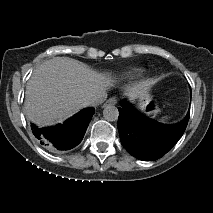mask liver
<instances>
[{
    "mask_svg": "<svg viewBox=\"0 0 213 213\" xmlns=\"http://www.w3.org/2000/svg\"><path fill=\"white\" fill-rule=\"evenodd\" d=\"M115 80L68 57H54L37 67L26 86V109L39 126L62 122L86 107L85 100L113 86ZM150 83L128 88L131 98L147 96Z\"/></svg>",
    "mask_w": 213,
    "mask_h": 213,
    "instance_id": "liver-1",
    "label": "liver"
}]
</instances>
